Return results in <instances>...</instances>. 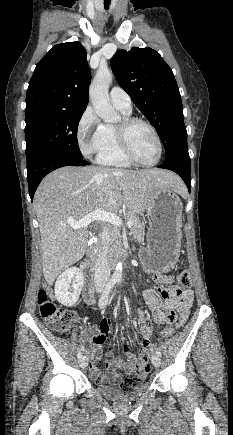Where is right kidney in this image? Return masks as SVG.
<instances>
[{
	"instance_id": "1",
	"label": "right kidney",
	"mask_w": 233,
	"mask_h": 435,
	"mask_svg": "<svg viewBox=\"0 0 233 435\" xmlns=\"http://www.w3.org/2000/svg\"><path fill=\"white\" fill-rule=\"evenodd\" d=\"M83 284L84 276L79 268L65 270L55 282L56 299L64 306H73L79 299Z\"/></svg>"
}]
</instances>
